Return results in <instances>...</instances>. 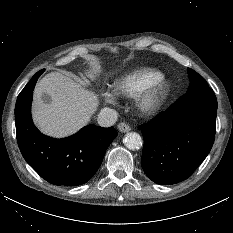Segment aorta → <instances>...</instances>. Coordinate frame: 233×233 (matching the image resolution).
I'll list each match as a JSON object with an SVG mask.
<instances>
[{
	"instance_id": "aorta-1",
	"label": "aorta",
	"mask_w": 233,
	"mask_h": 233,
	"mask_svg": "<svg viewBox=\"0 0 233 233\" xmlns=\"http://www.w3.org/2000/svg\"><path fill=\"white\" fill-rule=\"evenodd\" d=\"M124 144L128 149L136 150L142 146V138L136 132H129L125 135Z\"/></svg>"
}]
</instances>
